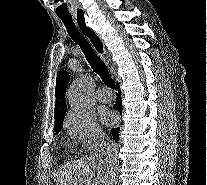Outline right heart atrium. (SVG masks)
<instances>
[{"label": "right heart atrium", "instance_id": "1", "mask_svg": "<svg viewBox=\"0 0 207 185\" xmlns=\"http://www.w3.org/2000/svg\"><path fill=\"white\" fill-rule=\"evenodd\" d=\"M64 126L69 136L89 152L97 150L106 135L91 111L71 110L64 118Z\"/></svg>", "mask_w": 207, "mask_h": 185}]
</instances>
